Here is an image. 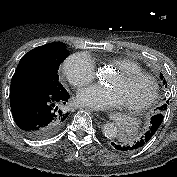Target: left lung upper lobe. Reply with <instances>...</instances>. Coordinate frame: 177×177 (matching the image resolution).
I'll list each match as a JSON object with an SVG mask.
<instances>
[{
  "mask_svg": "<svg viewBox=\"0 0 177 177\" xmlns=\"http://www.w3.org/2000/svg\"><path fill=\"white\" fill-rule=\"evenodd\" d=\"M160 77H161V80H163V84L166 85V87H167L166 81H165V79L163 78V75H162V74H161ZM167 103H168V102H167ZM166 108H167V105L164 104V105H162L161 107H159V111L163 113L164 110H166Z\"/></svg>",
  "mask_w": 177,
  "mask_h": 177,
  "instance_id": "obj_1",
  "label": "left lung upper lobe"
}]
</instances>
